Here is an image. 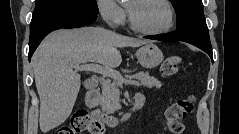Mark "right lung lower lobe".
Here are the masks:
<instances>
[{
  "label": "right lung lower lobe",
  "instance_id": "right-lung-lower-lobe-1",
  "mask_svg": "<svg viewBox=\"0 0 239 134\" xmlns=\"http://www.w3.org/2000/svg\"><path fill=\"white\" fill-rule=\"evenodd\" d=\"M97 14L75 9H62L43 17L30 25L29 61L43 38L51 31L60 28H74L86 26L94 22Z\"/></svg>",
  "mask_w": 239,
  "mask_h": 134
}]
</instances>
